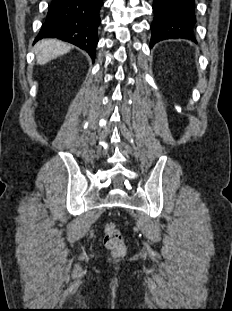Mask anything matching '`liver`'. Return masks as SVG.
I'll return each mask as SVG.
<instances>
[{"label": "liver", "instance_id": "6515ba94", "mask_svg": "<svg viewBox=\"0 0 232 311\" xmlns=\"http://www.w3.org/2000/svg\"><path fill=\"white\" fill-rule=\"evenodd\" d=\"M71 46L57 39H44L36 43L34 51L37 63L43 65L52 59L66 54L70 51Z\"/></svg>", "mask_w": 232, "mask_h": 311}]
</instances>
